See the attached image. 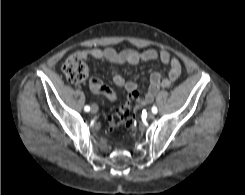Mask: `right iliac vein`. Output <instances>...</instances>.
I'll return each instance as SVG.
<instances>
[{
	"mask_svg": "<svg viewBox=\"0 0 245 195\" xmlns=\"http://www.w3.org/2000/svg\"><path fill=\"white\" fill-rule=\"evenodd\" d=\"M98 111V106L93 104L92 107H91V112L92 113H96Z\"/></svg>",
	"mask_w": 245,
	"mask_h": 195,
	"instance_id": "obj_1",
	"label": "right iliac vein"
}]
</instances>
